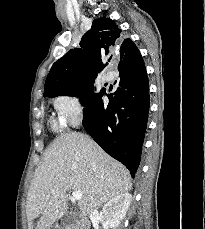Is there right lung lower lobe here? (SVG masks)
Masks as SVG:
<instances>
[{
  "mask_svg": "<svg viewBox=\"0 0 205 229\" xmlns=\"http://www.w3.org/2000/svg\"><path fill=\"white\" fill-rule=\"evenodd\" d=\"M114 94L104 90L80 98L85 105L83 126L109 155L124 164L134 177L141 156L148 111L149 83L143 59L134 67L119 70ZM109 97L104 105L103 98Z\"/></svg>",
  "mask_w": 205,
  "mask_h": 229,
  "instance_id": "1",
  "label": "right lung lower lobe"
}]
</instances>
